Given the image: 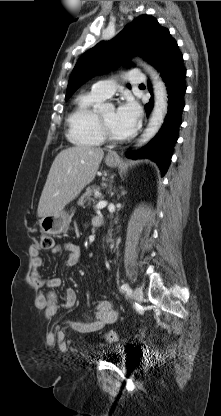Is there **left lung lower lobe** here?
Returning a JSON list of instances; mask_svg holds the SVG:
<instances>
[{"label": "left lung lower lobe", "mask_w": 221, "mask_h": 416, "mask_svg": "<svg viewBox=\"0 0 221 416\" xmlns=\"http://www.w3.org/2000/svg\"><path fill=\"white\" fill-rule=\"evenodd\" d=\"M149 62L160 72L163 81L166 83L168 113L157 135L143 149L129 153L126 156L133 159H152L158 164L163 176L171 162L174 145L178 139L179 126L182 123L184 94L186 92V70L183 66V57L169 31L162 36ZM149 90L151 89L149 88ZM152 107L153 97L145 105L147 115Z\"/></svg>", "instance_id": "obj_1"}]
</instances>
